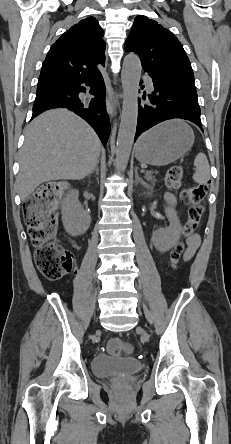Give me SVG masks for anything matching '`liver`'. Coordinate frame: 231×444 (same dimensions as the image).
Masks as SVG:
<instances>
[{"label":"liver","mask_w":231,"mask_h":444,"mask_svg":"<svg viewBox=\"0 0 231 444\" xmlns=\"http://www.w3.org/2000/svg\"><path fill=\"white\" fill-rule=\"evenodd\" d=\"M100 151L94 130L73 112L42 113L25 130L17 177L21 200L44 182L84 178L95 168Z\"/></svg>","instance_id":"liver-1"}]
</instances>
